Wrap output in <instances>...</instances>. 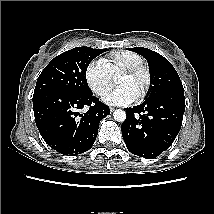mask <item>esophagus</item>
<instances>
[{"mask_svg":"<svg viewBox=\"0 0 214 214\" xmlns=\"http://www.w3.org/2000/svg\"><path fill=\"white\" fill-rule=\"evenodd\" d=\"M114 111V108L113 107H110V112L112 113Z\"/></svg>","mask_w":214,"mask_h":214,"instance_id":"34e87169","label":"esophagus"}]
</instances>
